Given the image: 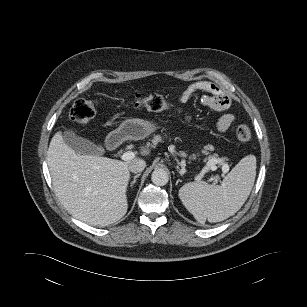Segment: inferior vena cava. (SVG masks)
<instances>
[{
	"label": "inferior vena cava",
	"mask_w": 307,
	"mask_h": 307,
	"mask_svg": "<svg viewBox=\"0 0 307 307\" xmlns=\"http://www.w3.org/2000/svg\"><path fill=\"white\" fill-rule=\"evenodd\" d=\"M145 167L146 162L142 159H137L129 164L128 169L133 173H140L145 169Z\"/></svg>",
	"instance_id": "obj_1"
}]
</instances>
